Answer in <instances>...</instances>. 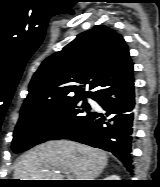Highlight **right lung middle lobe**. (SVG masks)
I'll use <instances>...</instances> for the list:
<instances>
[{"mask_svg": "<svg viewBox=\"0 0 160 187\" xmlns=\"http://www.w3.org/2000/svg\"><path fill=\"white\" fill-rule=\"evenodd\" d=\"M85 98H75L42 110L20 113L12 141L14 152L26 151L48 139H61L70 135L92 112Z\"/></svg>", "mask_w": 160, "mask_h": 187, "instance_id": "right-lung-middle-lobe-1", "label": "right lung middle lobe"}]
</instances>
